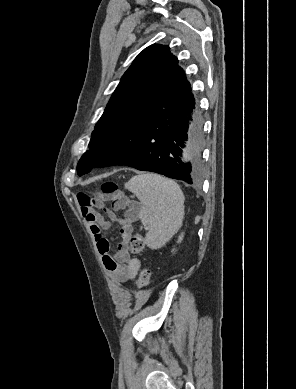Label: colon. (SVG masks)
<instances>
[{
    "instance_id": "colon-1",
    "label": "colon",
    "mask_w": 296,
    "mask_h": 389,
    "mask_svg": "<svg viewBox=\"0 0 296 389\" xmlns=\"http://www.w3.org/2000/svg\"><path fill=\"white\" fill-rule=\"evenodd\" d=\"M102 193L104 200L113 204L121 202L123 197L121 196L118 186L112 181H107L102 185ZM145 248V239L141 233L134 234L129 240V249L132 254H139ZM151 282V270L148 267L143 268L140 271L138 278V286L140 289H145Z\"/></svg>"
}]
</instances>
